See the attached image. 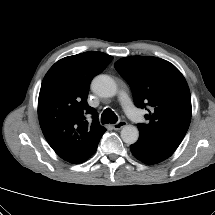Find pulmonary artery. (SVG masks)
<instances>
[{
    "label": "pulmonary artery",
    "mask_w": 215,
    "mask_h": 215,
    "mask_svg": "<svg viewBox=\"0 0 215 215\" xmlns=\"http://www.w3.org/2000/svg\"><path fill=\"white\" fill-rule=\"evenodd\" d=\"M119 100H120V103H121L124 111L130 118H132L133 120H135L137 122L142 121L141 114L134 107V105L132 104V102H131L130 98L128 97V95L126 94V92L121 91L119 93Z\"/></svg>",
    "instance_id": "e3ab8cb5"
}]
</instances>
